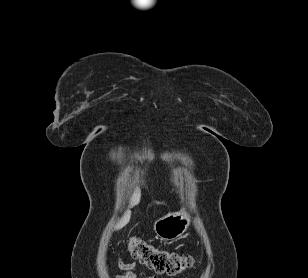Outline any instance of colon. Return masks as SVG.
<instances>
[{
    "label": "colon",
    "instance_id": "1",
    "mask_svg": "<svg viewBox=\"0 0 308 278\" xmlns=\"http://www.w3.org/2000/svg\"><path fill=\"white\" fill-rule=\"evenodd\" d=\"M128 249L134 258L159 274L176 275L192 264V258L188 255L159 249L136 237L128 240Z\"/></svg>",
    "mask_w": 308,
    "mask_h": 278
}]
</instances>
